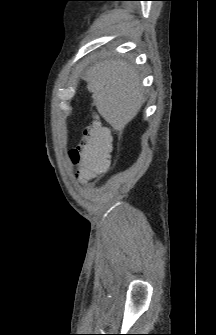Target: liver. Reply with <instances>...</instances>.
Masks as SVG:
<instances>
[{
    "mask_svg": "<svg viewBox=\"0 0 216 335\" xmlns=\"http://www.w3.org/2000/svg\"><path fill=\"white\" fill-rule=\"evenodd\" d=\"M88 90L99 114L122 131L146 101L135 67L123 59H106L86 72Z\"/></svg>",
    "mask_w": 216,
    "mask_h": 335,
    "instance_id": "6515ba94",
    "label": "liver"
}]
</instances>
